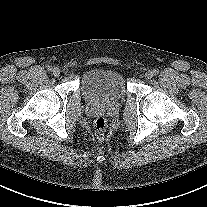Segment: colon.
I'll return each mask as SVG.
<instances>
[{
	"label": "colon",
	"instance_id": "5ec220e1",
	"mask_svg": "<svg viewBox=\"0 0 207 207\" xmlns=\"http://www.w3.org/2000/svg\"><path fill=\"white\" fill-rule=\"evenodd\" d=\"M94 129L99 137H103L107 129L106 120L103 117L97 118L94 122Z\"/></svg>",
	"mask_w": 207,
	"mask_h": 207
}]
</instances>
